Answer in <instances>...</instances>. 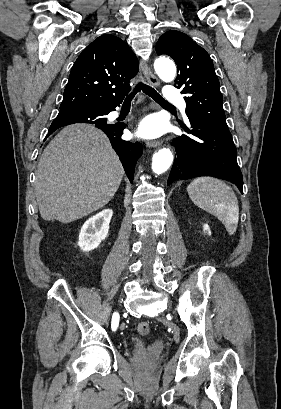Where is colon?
Returning a JSON list of instances; mask_svg holds the SVG:
<instances>
[{
    "instance_id": "obj_1",
    "label": "colon",
    "mask_w": 281,
    "mask_h": 409,
    "mask_svg": "<svg viewBox=\"0 0 281 409\" xmlns=\"http://www.w3.org/2000/svg\"><path fill=\"white\" fill-rule=\"evenodd\" d=\"M150 328H151V326H150L149 323H147V322H141V323H139L138 326H137V332H138L140 335L145 336V335H148V334H149Z\"/></svg>"
}]
</instances>
